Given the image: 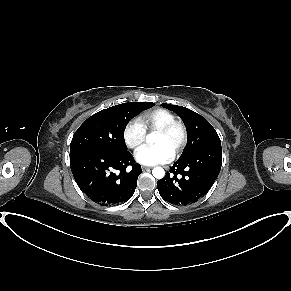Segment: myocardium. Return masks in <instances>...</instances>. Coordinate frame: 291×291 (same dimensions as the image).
Masks as SVG:
<instances>
[{
	"instance_id": "1",
	"label": "myocardium",
	"mask_w": 291,
	"mask_h": 291,
	"mask_svg": "<svg viewBox=\"0 0 291 291\" xmlns=\"http://www.w3.org/2000/svg\"><path fill=\"white\" fill-rule=\"evenodd\" d=\"M156 132L166 136H171L175 133L178 135L173 148L174 155H177L186 144L187 129L185 125L179 120H174L164 125L163 127L159 128Z\"/></svg>"
}]
</instances>
